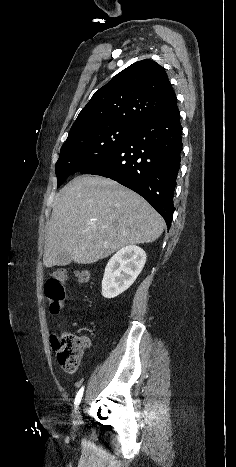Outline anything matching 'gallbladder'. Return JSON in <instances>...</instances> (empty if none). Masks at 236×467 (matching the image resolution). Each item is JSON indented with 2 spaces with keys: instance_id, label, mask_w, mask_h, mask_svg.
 I'll return each mask as SVG.
<instances>
[{
  "instance_id": "gallbladder-1",
  "label": "gallbladder",
  "mask_w": 236,
  "mask_h": 467,
  "mask_svg": "<svg viewBox=\"0 0 236 467\" xmlns=\"http://www.w3.org/2000/svg\"><path fill=\"white\" fill-rule=\"evenodd\" d=\"M58 261H59V265L66 266V265H69L72 260L69 254H67L66 252H62L58 254Z\"/></svg>"
}]
</instances>
